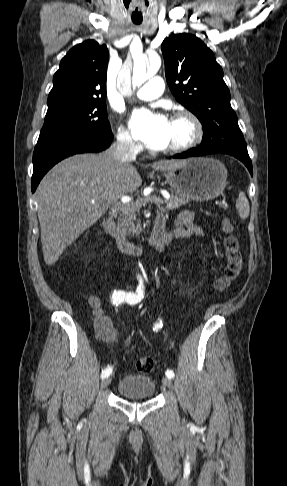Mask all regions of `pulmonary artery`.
<instances>
[{"label": "pulmonary artery", "instance_id": "e3ab8cb5", "mask_svg": "<svg viewBox=\"0 0 287 486\" xmlns=\"http://www.w3.org/2000/svg\"><path fill=\"white\" fill-rule=\"evenodd\" d=\"M163 92V80L154 77L135 92L138 99L149 101L158 98Z\"/></svg>", "mask_w": 287, "mask_h": 486}]
</instances>
